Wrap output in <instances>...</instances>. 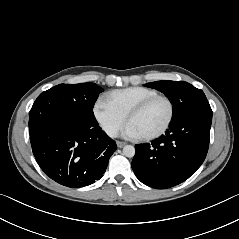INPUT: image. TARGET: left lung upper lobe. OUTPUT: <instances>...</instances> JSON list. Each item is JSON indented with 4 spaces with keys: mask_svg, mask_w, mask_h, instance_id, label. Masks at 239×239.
Wrapping results in <instances>:
<instances>
[{
    "mask_svg": "<svg viewBox=\"0 0 239 239\" xmlns=\"http://www.w3.org/2000/svg\"><path fill=\"white\" fill-rule=\"evenodd\" d=\"M163 92L173 104L172 121L196 112L211 111L208 100L202 90L195 88L185 81H156L145 84Z\"/></svg>",
    "mask_w": 239,
    "mask_h": 239,
    "instance_id": "1",
    "label": "left lung upper lobe"
}]
</instances>
